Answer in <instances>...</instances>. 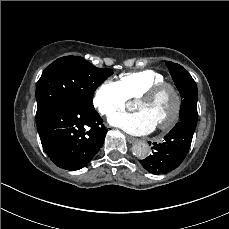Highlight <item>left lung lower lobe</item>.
<instances>
[{"label":"left lung lower lobe","instance_id":"obj_1","mask_svg":"<svg viewBox=\"0 0 229 229\" xmlns=\"http://www.w3.org/2000/svg\"><path fill=\"white\" fill-rule=\"evenodd\" d=\"M197 99L186 98L183 106L185 121L178 122L164 137L162 143H153L154 152L140 160L142 166L150 173H167L177 168L185 159L191 145L197 124ZM151 144V143H150Z\"/></svg>","mask_w":229,"mask_h":229}]
</instances>
